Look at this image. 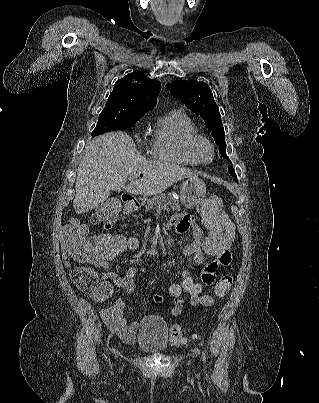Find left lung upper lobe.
<instances>
[{
  "label": "left lung upper lobe",
  "mask_w": 319,
  "mask_h": 403,
  "mask_svg": "<svg viewBox=\"0 0 319 403\" xmlns=\"http://www.w3.org/2000/svg\"><path fill=\"white\" fill-rule=\"evenodd\" d=\"M166 88L175 98L180 99L187 108L204 119L219 146V152L230 161L226 154L225 133L221 116L210 87L204 82L177 80L167 84ZM228 172L236 177L232 166L228 167Z\"/></svg>",
  "instance_id": "5c2ea615"
}]
</instances>
